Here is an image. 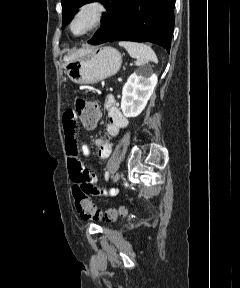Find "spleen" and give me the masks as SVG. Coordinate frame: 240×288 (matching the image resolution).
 I'll use <instances>...</instances> for the list:
<instances>
[{
    "label": "spleen",
    "mask_w": 240,
    "mask_h": 288,
    "mask_svg": "<svg viewBox=\"0 0 240 288\" xmlns=\"http://www.w3.org/2000/svg\"><path fill=\"white\" fill-rule=\"evenodd\" d=\"M119 45L124 47L129 55L136 59V65H144L149 61L158 62L157 56L153 49L144 43L120 41Z\"/></svg>",
    "instance_id": "3e777b00"
}]
</instances>
